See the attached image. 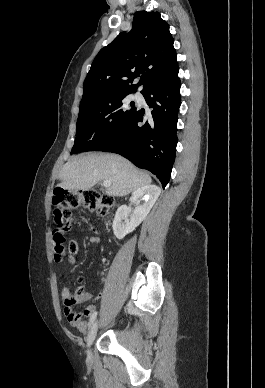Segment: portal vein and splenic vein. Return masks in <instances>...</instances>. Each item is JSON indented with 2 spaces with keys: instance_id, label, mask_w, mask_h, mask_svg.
I'll return each mask as SVG.
<instances>
[{
  "instance_id": "portal-vein-and-splenic-vein-1",
  "label": "portal vein and splenic vein",
  "mask_w": 265,
  "mask_h": 388,
  "mask_svg": "<svg viewBox=\"0 0 265 388\" xmlns=\"http://www.w3.org/2000/svg\"><path fill=\"white\" fill-rule=\"evenodd\" d=\"M103 186H105V188H109V186H111V182H108V180H105V182H103Z\"/></svg>"
}]
</instances>
